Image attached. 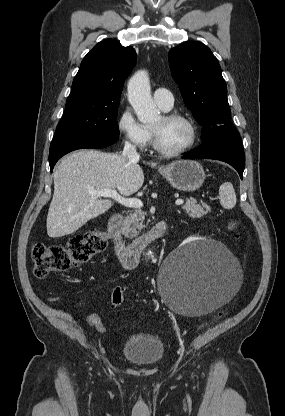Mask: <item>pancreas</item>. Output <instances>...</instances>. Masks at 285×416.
I'll use <instances>...</instances> for the list:
<instances>
[{
    "mask_svg": "<svg viewBox=\"0 0 285 416\" xmlns=\"http://www.w3.org/2000/svg\"><path fill=\"white\" fill-rule=\"evenodd\" d=\"M183 210L189 214L190 218H202L210 210V206L207 204H197L194 198H189L186 204L183 206ZM146 216V212L142 210H133L129 216H126L123 222L124 232H129L131 238L139 236L141 230H143V222Z\"/></svg>",
    "mask_w": 285,
    "mask_h": 416,
    "instance_id": "pancreas-1",
    "label": "pancreas"
}]
</instances>
